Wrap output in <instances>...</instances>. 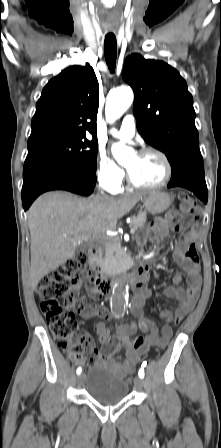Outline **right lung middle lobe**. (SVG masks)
Listing matches in <instances>:
<instances>
[{
	"instance_id": "obj_1",
	"label": "right lung middle lobe",
	"mask_w": 221,
	"mask_h": 448,
	"mask_svg": "<svg viewBox=\"0 0 221 448\" xmlns=\"http://www.w3.org/2000/svg\"><path fill=\"white\" fill-rule=\"evenodd\" d=\"M97 147V141H89L86 136L61 139L28 148L26 160L51 158L95 172Z\"/></svg>"
}]
</instances>
